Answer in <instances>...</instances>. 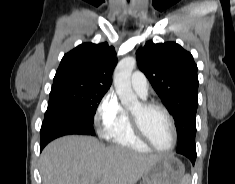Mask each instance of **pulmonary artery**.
Masks as SVG:
<instances>
[{
    "label": "pulmonary artery",
    "instance_id": "obj_1",
    "mask_svg": "<svg viewBox=\"0 0 235 184\" xmlns=\"http://www.w3.org/2000/svg\"><path fill=\"white\" fill-rule=\"evenodd\" d=\"M133 89L141 96L146 97L148 94V80L142 72H134L130 78Z\"/></svg>",
    "mask_w": 235,
    "mask_h": 184
}]
</instances>
